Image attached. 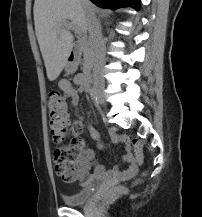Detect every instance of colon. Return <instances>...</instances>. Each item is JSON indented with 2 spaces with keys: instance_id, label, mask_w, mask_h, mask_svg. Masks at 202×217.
<instances>
[{
  "instance_id": "5ec220e1",
  "label": "colon",
  "mask_w": 202,
  "mask_h": 217,
  "mask_svg": "<svg viewBox=\"0 0 202 217\" xmlns=\"http://www.w3.org/2000/svg\"><path fill=\"white\" fill-rule=\"evenodd\" d=\"M67 107L65 98L58 92H51L48 100V119L54 148V164L56 173L65 181H74L82 174L81 155L84 150L82 139L74 136L64 143V135L68 131ZM135 146L140 145L134 140ZM123 188L114 189L113 193H121Z\"/></svg>"
}]
</instances>
